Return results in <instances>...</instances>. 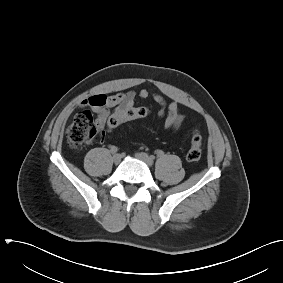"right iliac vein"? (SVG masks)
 Returning <instances> with one entry per match:
<instances>
[{"mask_svg":"<svg viewBox=\"0 0 283 283\" xmlns=\"http://www.w3.org/2000/svg\"><path fill=\"white\" fill-rule=\"evenodd\" d=\"M121 158H122V156H121L120 154H115V155L113 156L112 160H113V162H114L115 164H119L120 161H121Z\"/></svg>","mask_w":283,"mask_h":283,"instance_id":"63e3f726","label":"right iliac vein"}]
</instances>
